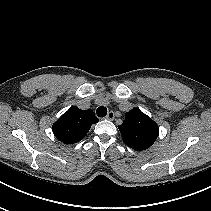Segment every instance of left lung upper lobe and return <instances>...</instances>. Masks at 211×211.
Returning a JSON list of instances; mask_svg holds the SVG:
<instances>
[{"instance_id":"left-lung-upper-lobe-1","label":"left lung upper lobe","mask_w":211,"mask_h":211,"mask_svg":"<svg viewBox=\"0 0 211 211\" xmlns=\"http://www.w3.org/2000/svg\"><path fill=\"white\" fill-rule=\"evenodd\" d=\"M123 141L134 150L149 148L158 137L159 127L138 108L127 112L122 125L118 126Z\"/></svg>"}]
</instances>
